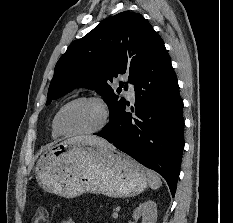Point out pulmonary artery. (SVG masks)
Listing matches in <instances>:
<instances>
[{"label":"pulmonary artery","mask_w":233,"mask_h":223,"mask_svg":"<svg viewBox=\"0 0 233 223\" xmlns=\"http://www.w3.org/2000/svg\"><path fill=\"white\" fill-rule=\"evenodd\" d=\"M123 81L127 84V93L131 98L135 96V86L132 82L129 81V74H122Z\"/></svg>","instance_id":"pulmonary-artery-1"}]
</instances>
